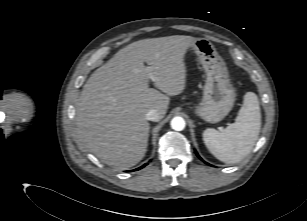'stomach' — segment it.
I'll return each mask as SVG.
<instances>
[{
  "instance_id": "0dacf381",
  "label": "stomach",
  "mask_w": 307,
  "mask_h": 221,
  "mask_svg": "<svg viewBox=\"0 0 307 221\" xmlns=\"http://www.w3.org/2000/svg\"><path fill=\"white\" fill-rule=\"evenodd\" d=\"M190 47L206 73L203 98L193 108L194 113L208 123H217L228 115L235 102L227 67L208 39L195 38Z\"/></svg>"
}]
</instances>
